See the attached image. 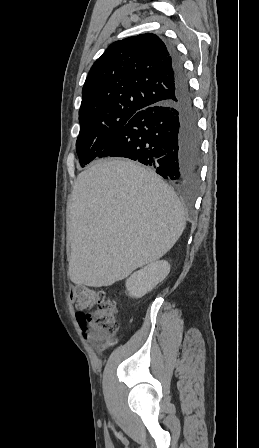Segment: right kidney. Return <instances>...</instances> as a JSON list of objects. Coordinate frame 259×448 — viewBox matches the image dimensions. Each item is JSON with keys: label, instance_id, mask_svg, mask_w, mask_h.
<instances>
[{"label": "right kidney", "instance_id": "1", "mask_svg": "<svg viewBox=\"0 0 259 448\" xmlns=\"http://www.w3.org/2000/svg\"><path fill=\"white\" fill-rule=\"evenodd\" d=\"M170 272L168 262H153L148 264L139 272H134L128 280H126V288L131 298H142L148 292H151L159 282H162Z\"/></svg>", "mask_w": 259, "mask_h": 448}]
</instances>
